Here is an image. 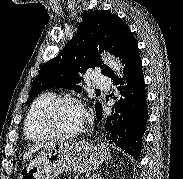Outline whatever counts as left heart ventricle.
Returning a JSON list of instances; mask_svg holds the SVG:
<instances>
[{
    "label": "left heart ventricle",
    "instance_id": "obj_1",
    "mask_svg": "<svg viewBox=\"0 0 183 179\" xmlns=\"http://www.w3.org/2000/svg\"><path fill=\"white\" fill-rule=\"evenodd\" d=\"M83 121L82 110L74 104L60 105L52 116V126L59 133H70L76 130Z\"/></svg>",
    "mask_w": 183,
    "mask_h": 179
}]
</instances>
